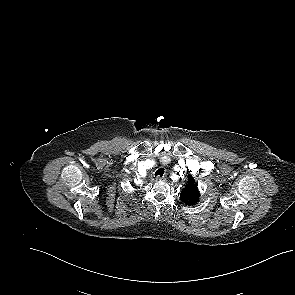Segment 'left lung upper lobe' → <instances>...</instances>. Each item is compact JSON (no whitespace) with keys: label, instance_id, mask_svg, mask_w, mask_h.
Wrapping results in <instances>:
<instances>
[{"label":"left lung upper lobe","instance_id":"left-lung-upper-lobe-1","mask_svg":"<svg viewBox=\"0 0 295 295\" xmlns=\"http://www.w3.org/2000/svg\"><path fill=\"white\" fill-rule=\"evenodd\" d=\"M197 183L193 179L192 175H188V181L183 187L180 194V199L188 206L195 205L199 201L200 193L197 187Z\"/></svg>","mask_w":295,"mask_h":295}]
</instances>
